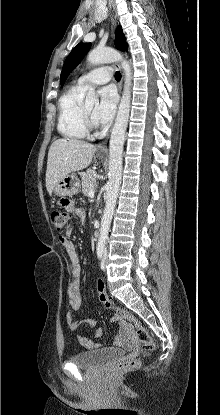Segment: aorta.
<instances>
[{"label":"aorta","mask_w":220,"mask_h":415,"mask_svg":"<svg viewBox=\"0 0 220 415\" xmlns=\"http://www.w3.org/2000/svg\"><path fill=\"white\" fill-rule=\"evenodd\" d=\"M87 61L91 65L120 62L125 74L124 90L109 143V181L106 185V205L101 220L99 236V244H105L121 184L124 136L130 114L132 72L129 62L123 59L122 55L112 48H97L90 51L87 56ZM98 102V96L94 88L90 87L85 98V103L89 105L97 104Z\"/></svg>","instance_id":"obj_1"}]
</instances>
